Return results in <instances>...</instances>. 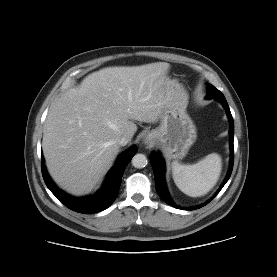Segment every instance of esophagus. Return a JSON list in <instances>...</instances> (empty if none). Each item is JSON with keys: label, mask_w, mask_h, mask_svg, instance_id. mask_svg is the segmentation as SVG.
Wrapping results in <instances>:
<instances>
[{"label": "esophagus", "mask_w": 277, "mask_h": 277, "mask_svg": "<svg viewBox=\"0 0 277 277\" xmlns=\"http://www.w3.org/2000/svg\"><path fill=\"white\" fill-rule=\"evenodd\" d=\"M145 143H151V141L150 140H146Z\"/></svg>", "instance_id": "34e87169"}]
</instances>
